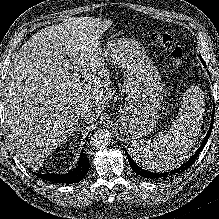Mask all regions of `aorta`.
I'll return each mask as SVG.
<instances>
[{"mask_svg":"<svg viewBox=\"0 0 219 219\" xmlns=\"http://www.w3.org/2000/svg\"><path fill=\"white\" fill-rule=\"evenodd\" d=\"M111 141V133L107 130H97L90 139V145L93 149L101 150L106 148Z\"/></svg>","mask_w":219,"mask_h":219,"instance_id":"obj_1","label":"aorta"}]
</instances>
